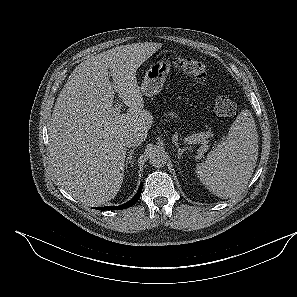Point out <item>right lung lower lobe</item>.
Wrapping results in <instances>:
<instances>
[{
  "label": "right lung lower lobe",
  "mask_w": 297,
  "mask_h": 297,
  "mask_svg": "<svg viewBox=\"0 0 297 297\" xmlns=\"http://www.w3.org/2000/svg\"><path fill=\"white\" fill-rule=\"evenodd\" d=\"M141 192H142V183L140 184V187L137 193L135 194V196L129 202L122 204L120 206H106V207H98L96 209L97 210H119V209H125L128 207H131L138 201Z\"/></svg>",
  "instance_id": "1"
}]
</instances>
